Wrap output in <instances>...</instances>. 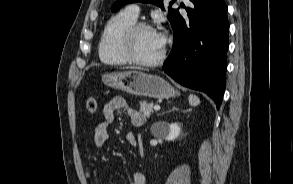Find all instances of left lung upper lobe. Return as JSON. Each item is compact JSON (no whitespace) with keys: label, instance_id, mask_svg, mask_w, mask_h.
Segmentation results:
<instances>
[{"label":"left lung upper lobe","instance_id":"5c2ea615","mask_svg":"<svg viewBox=\"0 0 293 184\" xmlns=\"http://www.w3.org/2000/svg\"><path fill=\"white\" fill-rule=\"evenodd\" d=\"M134 2L154 3L155 5L159 6L161 9L165 10L164 5H163V0H119L113 4L111 10L113 12H115L118 9H120L123 5H125L127 3H134ZM173 13H174V9L168 7V19H169L170 23L173 19Z\"/></svg>","mask_w":293,"mask_h":184}]
</instances>
